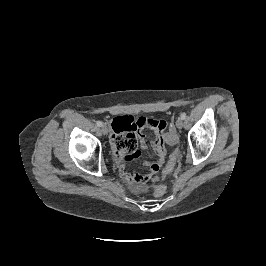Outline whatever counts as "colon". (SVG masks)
I'll list each match as a JSON object with an SVG mask.
<instances>
[{"label":"colon","mask_w":266,"mask_h":266,"mask_svg":"<svg viewBox=\"0 0 266 266\" xmlns=\"http://www.w3.org/2000/svg\"><path fill=\"white\" fill-rule=\"evenodd\" d=\"M169 137H170L171 144L172 145H175L177 139H176L175 132L172 129L169 131ZM177 155H178L177 151H174L171 154V156L169 158V161H168V163H167V165H166V167L164 169V172H163L164 174H168L169 172L172 171V169H173V167L175 165L176 159H177ZM166 191H167L166 186H164V185H157L154 188L153 193H154V195L156 197H161V196H163L166 193Z\"/></svg>","instance_id":"colon-1"}]
</instances>
